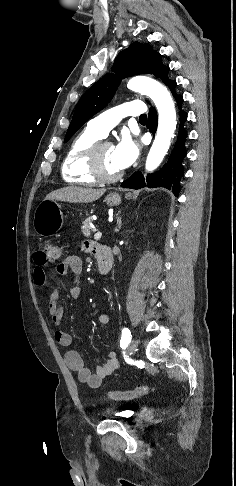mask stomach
Wrapping results in <instances>:
<instances>
[{
    "label": "stomach",
    "instance_id": "1",
    "mask_svg": "<svg viewBox=\"0 0 236 486\" xmlns=\"http://www.w3.org/2000/svg\"><path fill=\"white\" fill-rule=\"evenodd\" d=\"M129 200L131 194H125ZM108 206H118L121 203V196L118 193H111L105 198ZM63 213L61 205L55 200H44L34 212L33 227L35 232L40 236H51L57 233L63 225Z\"/></svg>",
    "mask_w": 236,
    "mask_h": 486
}]
</instances>
